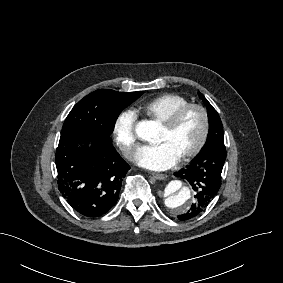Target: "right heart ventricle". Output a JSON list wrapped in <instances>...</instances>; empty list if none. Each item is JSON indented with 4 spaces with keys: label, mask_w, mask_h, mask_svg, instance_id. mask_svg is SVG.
Listing matches in <instances>:
<instances>
[{
    "label": "right heart ventricle",
    "mask_w": 283,
    "mask_h": 283,
    "mask_svg": "<svg viewBox=\"0 0 283 283\" xmlns=\"http://www.w3.org/2000/svg\"><path fill=\"white\" fill-rule=\"evenodd\" d=\"M190 101L177 93H166L152 99L137 102L133 111L136 116L159 121L160 123L176 109L189 104Z\"/></svg>",
    "instance_id": "obj_1"
}]
</instances>
